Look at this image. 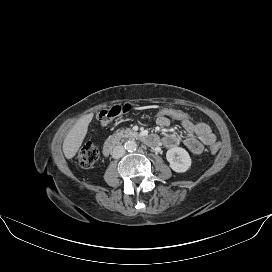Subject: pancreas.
<instances>
[{
  "mask_svg": "<svg viewBox=\"0 0 272 272\" xmlns=\"http://www.w3.org/2000/svg\"><path fill=\"white\" fill-rule=\"evenodd\" d=\"M132 134H133V131L130 128L122 129L120 131V135L124 137L128 135H132Z\"/></svg>",
  "mask_w": 272,
  "mask_h": 272,
  "instance_id": "1",
  "label": "pancreas"
}]
</instances>
